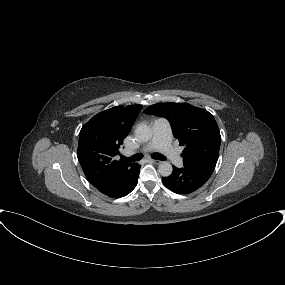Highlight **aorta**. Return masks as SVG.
Instances as JSON below:
<instances>
[{"mask_svg":"<svg viewBox=\"0 0 285 285\" xmlns=\"http://www.w3.org/2000/svg\"><path fill=\"white\" fill-rule=\"evenodd\" d=\"M135 135L141 141L147 142L152 138L153 130L147 124H139L135 129ZM172 171L173 167L169 162L163 161L159 164L158 172L161 176L168 177L171 175Z\"/></svg>","mask_w":285,"mask_h":285,"instance_id":"1","label":"aorta"}]
</instances>
